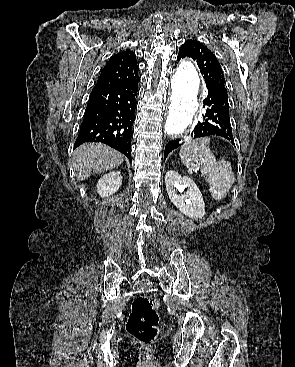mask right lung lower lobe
I'll list each match as a JSON object with an SVG mask.
<instances>
[{"label": "right lung lower lobe", "mask_w": 295, "mask_h": 367, "mask_svg": "<svg viewBox=\"0 0 295 367\" xmlns=\"http://www.w3.org/2000/svg\"><path fill=\"white\" fill-rule=\"evenodd\" d=\"M137 87L138 82L121 86L95 85L74 149L85 142H103L131 160Z\"/></svg>", "instance_id": "98d812e1"}]
</instances>
